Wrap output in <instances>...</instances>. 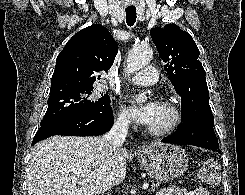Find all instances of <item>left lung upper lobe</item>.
Wrapping results in <instances>:
<instances>
[{"label":"left lung upper lobe","mask_w":245,"mask_h":195,"mask_svg":"<svg viewBox=\"0 0 245 195\" xmlns=\"http://www.w3.org/2000/svg\"><path fill=\"white\" fill-rule=\"evenodd\" d=\"M150 35L165 62L169 80L181 96L183 122L201 120L214 124L206 73L198 60L199 49L192 37L175 24L153 28Z\"/></svg>","instance_id":"1"}]
</instances>
